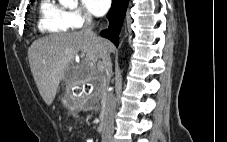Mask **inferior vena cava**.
<instances>
[{
	"label": "inferior vena cava",
	"mask_w": 227,
	"mask_h": 142,
	"mask_svg": "<svg viewBox=\"0 0 227 142\" xmlns=\"http://www.w3.org/2000/svg\"><path fill=\"white\" fill-rule=\"evenodd\" d=\"M83 31L88 35L98 38V36L93 32V24L91 23L90 15L86 18V27ZM102 61L103 63L99 65V67L104 73L103 88L107 89L112 72L111 59L108 53L103 54ZM105 96L106 103L104 107L102 142H112L114 134V114L117 100L110 91H105Z\"/></svg>",
	"instance_id": "obj_1"
}]
</instances>
